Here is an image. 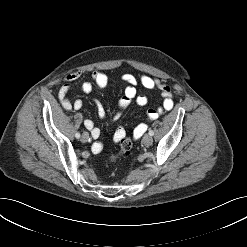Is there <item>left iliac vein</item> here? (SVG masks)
<instances>
[{
    "label": "left iliac vein",
    "instance_id": "4c4485c4",
    "mask_svg": "<svg viewBox=\"0 0 247 247\" xmlns=\"http://www.w3.org/2000/svg\"><path fill=\"white\" fill-rule=\"evenodd\" d=\"M142 141H143L144 145L150 146L153 142V138L150 135L146 134V135H144Z\"/></svg>",
    "mask_w": 247,
    "mask_h": 247
}]
</instances>
